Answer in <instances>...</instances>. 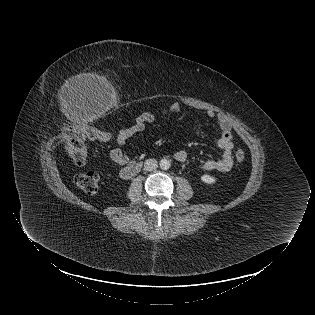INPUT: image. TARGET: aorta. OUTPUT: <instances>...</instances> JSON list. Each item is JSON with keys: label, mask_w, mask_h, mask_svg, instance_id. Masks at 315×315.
<instances>
[{"label": "aorta", "mask_w": 315, "mask_h": 315, "mask_svg": "<svg viewBox=\"0 0 315 315\" xmlns=\"http://www.w3.org/2000/svg\"><path fill=\"white\" fill-rule=\"evenodd\" d=\"M159 165H160L161 169L168 170L171 166V163H170V160L163 158V159H161Z\"/></svg>", "instance_id": "aorta-1"}]
</instances>
